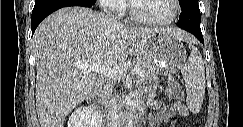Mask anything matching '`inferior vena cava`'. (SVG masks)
<instances>
[{
    "label": "inferior vena cava",
    "mask_w": 243,
    "mask_h": 127,
    "mask_svg": "<svg viewBox=\"0 0 243 127\" xmlns=\"http://www.w3.org/2000/svg\"><path fill=\"white\" fill-rule=\"evenodd\" d=\"M108 116V127H121V116L119 114L118 107V95H116V93L110 100Z\"/></svg>",
    "instance_id": "602c4592"
}]
</instances>
